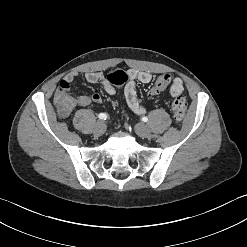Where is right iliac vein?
Here are the masks:
<instances>
[{
	"mask_svg": "<svg viewBox=\"0 0 247 247\" xmlns=\"http://www.w3.org/2000/svg\"><path fill=\"white\" fill-rule=\"evenodd\" d=\"M106 131V125L103 121H99L95 124L94 126V134L97 135V136H101L105 133Z\"/></svg>",
	"mask_w": 247,
	"mask_h": 247,
	"instance_id": "1",
	"label": "right iliac vein"
}]
</instances>
